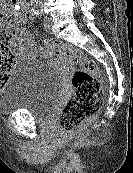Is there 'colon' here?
<instances>
[{
    "label": "colon",
    "instance_id": "colon-1",
    "mask_svg": "<svg viewBox=\"0 0 133 173\" xmlns=\"http://www.w3.org/2000/svg\"><path fill=\"white\" fill-rule=\"evenodd\" d=\"M4 35L10 39L19 32L15 19L7 15L2 20ZM43 56L59 54L66 57L75 67L71 77L73 93L65 104L59 125L65 133H71L93 117L103 101V90L99 70L95 62L67 44L45 41L41 45ZM14 57L5 43H0V85L8 78Z\"/></svg>",
    "mask_w": 133,
    "mask_h": 173
}]
</instances>
